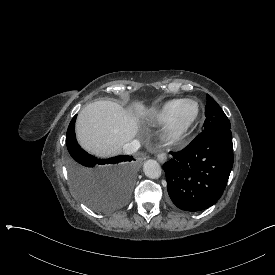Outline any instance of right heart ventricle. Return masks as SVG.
<instances>
[{"label":"right heart ventricle","instance_id":"obj_1","mask_svg":"<svg viewBox=\"0 0 275 275\" xmlns=\"http://www.w3.org/2000/svg\"><path fill=\"white\" fill-rule=\"evenodd\" d=\"M183 99H173L166 101L156 110L150 112L147 115V120L151 122H157L159 124H167L171 117L173 109L181 102Z\"/></svg>","mask_w":275,"mask_h":275}]
</instances>
